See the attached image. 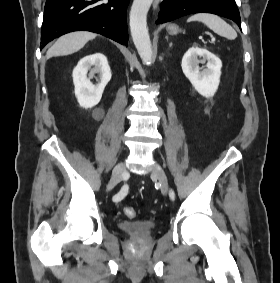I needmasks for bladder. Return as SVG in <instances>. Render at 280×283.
Wrapping results in <instances>:
<instances>
[{
    "label": "bladder",
    "mask_w": 280,
    "mask_h": 283,
    "mask_svg": "<svg viewBox=\"0 0 280 283\" xmlns=\"http://www.w3.org/2000/svg\"><path fill=\"white\" fill-rule=\"evenodd\" d=\"M118 229L129 235L141 237L149 235L155 229V224L147 220L121 221L118 223Z\"/></svg>",
    "instance_id": "bladder-1"
}]
</instances>
